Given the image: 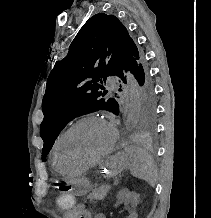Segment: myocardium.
Returning a JSON list of instances; mask_svg holds the SVG:
<instances>
[{"mask_svg": "<svg viewBox=\"0 0 211 218\" xmlns=\"http://www.w3.org/2000/svg\"><path fill=\"white\" fill-rule=\"evenodd\" d=\"M93 120H100L104 123H106L108 125V127L111 130L112 133V142L110 144V146L101 154H99L96 158H94L92 161L87 162V163H81L78 164V168H89L94 166L95 164H97L98 162H100L101 160H103L104 158H106L107 156H109L115 149L117 142H118V133L117 130L115 129V127L113 125H111L110 123H108L103 117L98 116V115H87V116H83L81 118H79L78 120H76L74 123H72L61 135V137L59 138L56 147H55V160H58L59 163H64L67 164L66 162H61L60 160V148L61 145L63 143V141L65 140L66 136L77 126H79L80 124L87 122V121H93Z\"/></svg>", "mask_w": 211, "mask_h": 218, "instance_id": "myocardium-1", "label": "myocardium"}]
</instances>
